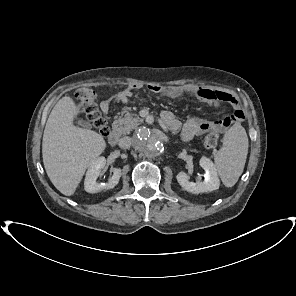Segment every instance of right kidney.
Listing matches in <instances>:
<instances>
[{
    "instance_id": "obj_1",
    "label": "right kidney",
    "mask_w": 296,
    "mask_h": 296,
    "mask_svg": "<svg viewBox=\"0 0 296 296\" xmlns=\"http://www.w3.org/2000/svg\"><path fill=\"white\" fill-rule=\"evenodd\" d=\"M105 165H106V159L103 156L96 158L90 164L86 173L85 181H84V187L86 192L97 193L102 190L112 189L118 184L122 174L120 168L113 169V175L108 180L107 183H99L97 181V178L101 174V169H103Z\"/></svg>"
}]
</instances>
